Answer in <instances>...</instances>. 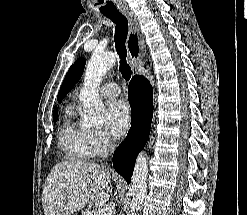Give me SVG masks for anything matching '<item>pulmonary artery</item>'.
<instances>
[{"instance_id": "pulmonary-artery-1", "label": "pulmonary artery", "mask_w": 247, "mask_h": 215, "mask_svg": "<svg viewBox=\"0 0 247 215\" xmlns=\"http://www.w3.org/2000/svg\"><path fill=\"white\" fill-rule=\"evenodd\" d=\"M100 94L107 98H113L120 94V88L113 82H106L101 86Z\"/></svg>"}]
</instances>
